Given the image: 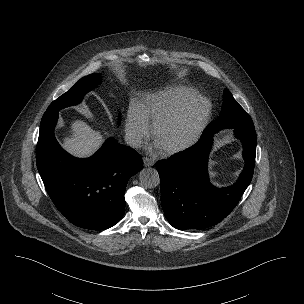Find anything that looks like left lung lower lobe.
Here are the masks:
<instances>
[{
	"instance_id": "left-lung-lower-lobe-1",
	"label": "left lung lower lobe",
	"mask_w": 304,
	"mask_h": 304,
	"mask_svg": "<svg viewBox=\"0 0 304 304\" xmlns=\"http://www.w3.org/2000/svg\"><path fill=\"white\" fill-rule=\"evenodd\" d=\"M231 128L242 141L245 159V167L232 186L217 189L209 182L208 155L212 135L217 131H205L194 147L169 160L157 162L162 208L168 222L176 229H203L221 222L250 184L256 155L255 128Z\"/></svg>"
}]
</instances>
